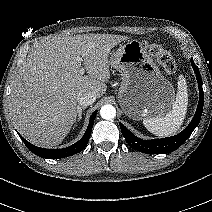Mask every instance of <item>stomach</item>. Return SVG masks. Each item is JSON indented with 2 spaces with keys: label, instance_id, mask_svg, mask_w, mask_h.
<instances>
[{
  "label": "stomach",
  "instance_id": "0dacf381",
  "mask_svg": "<svg viewBox=\"0 0 212 212\" xmlns=\"http://www.w3.org/2000/svg\"><path fill=\"white\" fill-rule=\"evenodd\" d=\"M109 62L121 73L118 101L129 118H158L170 111L175 98L174 87L141 42L128 40L121 44Z\"/></svg>",
  "mask_w": 212,
  "mask_h": 212
}]
</instances>
